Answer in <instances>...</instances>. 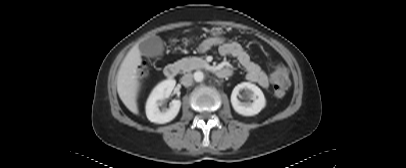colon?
I'll return each mask as SVG.
<instances>
[{
	"mask_svg": "<svg viewBox=\"0 0 406 168\" xmlns=\"http://www.w3.org/2000/svg\"><path fill=\"white\" fill-rule=\"evenodd\" d=\"M149 65V60H145L143 62V69L141 70V74H144ZM272 81L274 95L276 97H283L289 87V76L287 69L282 65L276 66L274 71L272 72Z\"/></svg>",
	"mask_w": 406,
	"mask_h": 168,
	"instance_id": "5ec220e1",
	"label": "colon"
}]
</instances>
